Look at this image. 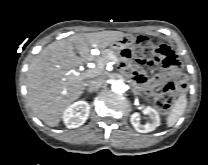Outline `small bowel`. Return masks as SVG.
Here are the masks:
<instances>
[{
  "label": "small bowel",
  "instance_id": "1",
  "mask_svg": "<svg viewBox=\"0 0 208 165\" xmlns=\"http://www.w3.org/2000/svg\"><path fill=\"white\" fill-rule=\"evenodd\" d=\"M121 56L125 60H130L132 58V53L128 49H123L121 51ZM122 70L124 72H129L131 70V65L129 63H124L122 65ZM172 75L177 76L175 73H172ZM129 78L134 80L136 84L142 86L148 94L152 95L154 93V87L159 84L165 76L160 75L149 80L143 71L132 70L129 73Z\"/></svg>",
  "mask_w": 208,
  "mask_h": 165
}]
</instances>
